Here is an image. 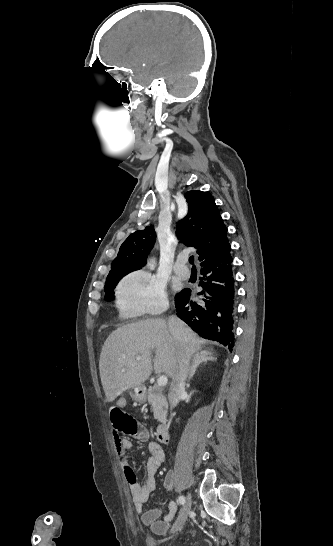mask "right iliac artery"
Listing matches in <instances>:
<instances>
[{
  "label": "right iliac artery",
  "instance_id": "obj_1",
  "mask_svg": "<svg viewBox=\"0 0 333 546\" xmlns=\"http://www.w3.org/2000/svg\"><path fill=\"white\" fill-rule=\"evenodd\" d=\"M178 501H179V503H180L181 505H184V503H185V497H184V496H179Z\"/></svg>",
  "mask_w": 333,
  "mask_h": 546
}]
</instances>
